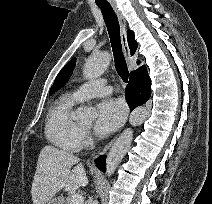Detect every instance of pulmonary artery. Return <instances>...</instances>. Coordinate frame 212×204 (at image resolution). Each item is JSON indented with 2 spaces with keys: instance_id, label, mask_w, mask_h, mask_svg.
<instances>
[{
  "instance_id": "1",
  "label": "pulmonary artery",
  "mask_w": 212,
  "mask_h": 204,
  "mask_svg": "<svg viewBox=\"0 0 212 204\" xmlns=\"http://www.w3.org/2000/svg\"><path fill=\"white\" fill-rule=\"evenodd\" d=\"M112 87L104 79H96L82 84L73 92L78 101L110 94Z\"/></svg>"
}]
</instances>
